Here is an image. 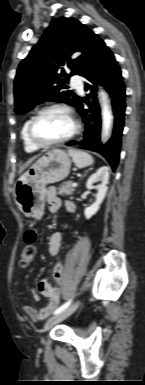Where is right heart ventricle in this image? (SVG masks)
<instances>
[{
	"label": "right heart ventricle",
	"mask_w": 145,
	"mask_h": 385,
	"mask_svg": "<svg viewBox=\"0 0 145 385\" xmlns=\"http://www.w3.org/2000/svg\"><path fill=\"white\" fill-rule=\"evenodd\" d=\"M31 118L27 119L25 121V123L23 124V127L21 129V139H22V142H23V146H24V149L26 152L28 153H33V152H36L38 149L35 148L28 140V137H27V127H28V124H29V121H30Z\"/></svg>",
	"instance_id": "1"
}]
</instances>
